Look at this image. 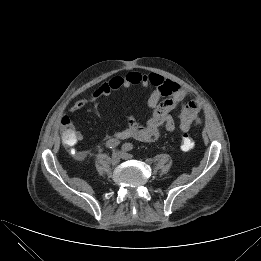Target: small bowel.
I'll return each instance as SVG.
<instances>
[{"label": "small bowel", "instance_id": "1", "mask_svg": "<svg viewBox=\"0 0 261 261\" xmlns=\"http://www.w3.org/2000/svg\"><path fill=\"white\" fill-rule=\"evenodd\" d=\"M133 86H152L147 104L153 109L152 116L144 123L139 124L129 120V125L123 130L113 134V139L133 138L141 142H154L159 136V129L165 127L168 132H173L177 123L171 112L177 107L180 108L179 128L182 132H188L191 126L199 119L200 104L195 99L185 101L189 92L178 83L165 79L157 73H141L130 71L125 75H116L98 86L87 98L77 99L71 107V112L82 109L88 102H94L101 97L109 96L111 93L128 89ZM82 140V134L75 131V139L72 143H64L70 146ZM82 151L79 155H84Z\"/></svg>", "mask_w": 261, "mask_h": 261}]
</instances>
